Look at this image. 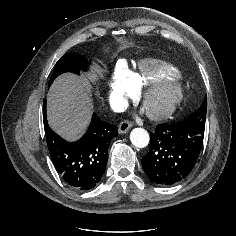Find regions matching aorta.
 Segmentation results:
<instances>
[{
  "mask_svg": "<svg viewBox=\"0 0 236 236\" xmlns=\"http://www.w3.org/2000/svg\"><path fill=\"white\" fill-rule=\"evenodd\" d=\"M149 134L143 128H134L130 133L131 143L138 148H144L149 143Z\"/></svg>",
  "mask_w": 236,
  "mask_h": 236,
  "instance_id": "1",
  "label": "aorta"
}]
</instances>
